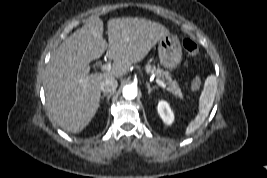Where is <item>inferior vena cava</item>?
<instances>
[{"instance_id": "inferior-vena-cava-1", "label": "inferior vena cava", "mask_w": 267, "mask_h": 178, "mask_svg": "<svg viewBox=\"0 0 267 178\" xmlns=\"http://www.w3.org/2000/svg\"><path fill=\"white\" fill-rule=\"evenodd\" d=\"M118 86V82L114 77H109L107 79H105L101 85H100V89L105 93H111L113 94L116 91V88Z\"/></svg>"}]
</instances>
